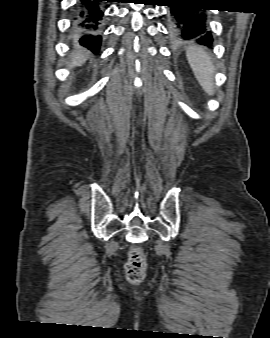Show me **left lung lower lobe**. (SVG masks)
Listing matches in <instances>:
<instances>
[{
	"label": "left lung lower lobe",
	"instance_id": "1",
	"mask_svg": "<svg viewBox=\"0 0 270 338\" xmlns=\"http://www.w3.org/2000/svg\"><path fill=\"white\" fill-rule=\"evenodd\" d=\"M169 31L176 43L197 42L211 46L213 38L205 12L189 0H170ZM206 10V9H204Z\"/></svg>",
	"mask_w": 270,
	"mask_h": 338
}]
</instances>
